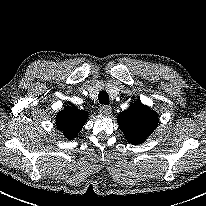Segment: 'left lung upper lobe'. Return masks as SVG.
<instances>
[{
    "label": "left lung upper lobe",
    "mask_w": 206,
    "mask_h": 206,
    "mask_svg": "<svg viewBox=\"0 0 206 206\" xmlns=\"http://www.w3.org/2000/svg\"><path fill=\"white\" fill-rule=\"evenodd\" d=\"M117 122L126 139L133 145L143 143L158 125V115L148 106L136 102L121 112Z\"/></svg>",
    "instance_id": "obj_1"
}]
</instances>
